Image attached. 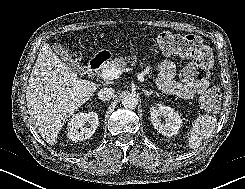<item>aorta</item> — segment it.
I'll return each mask as SVG.
<instances>
[{"label":"aorta","mask_w":245,"mask_h":189,"mask_svg":"<svg viewBox=\"0 0 245 189\" xmlns=\"http://www.w3.org/2000/svg\"><path fill=\"white\" fill-rule=\"evenodd\" d=\"M138 104L136 95L128 93L123 97L122 105L125 108L134 109Z\"/></svg>","instance_id":"1"}]
</instances>
